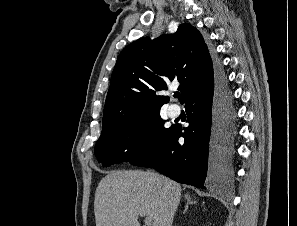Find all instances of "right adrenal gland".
<instances>
[{
  "mask_svg": "<svg viewBox=\"0 0 297 226\" xmlns=\"http://www.w3.org/2000/svg\"><path fill=\"white\" fill-rule=\"evenodd\" d=\"M184 197H185V199L187 200V203H186V205H185V209H184V212H186L187 209H188V207H189V205H191V204H196L197 202H196V201H193V200L191 199V197H190L189 194H185Z\"/></svg>",
  "mask_w": 297,
  "mask_h": 226,
  "instance_id": "right-adrenal-gland-1",
  "label": "right adrenal gland"
}]
</instances>
